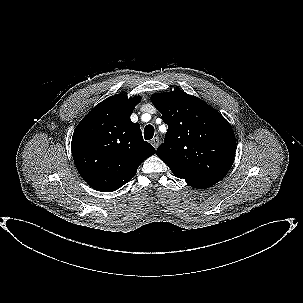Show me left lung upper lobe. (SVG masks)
Wrapping results in <instances>:
<instances>
[{
	"mask_svg": "<svg viewBox=\"0 0 303 303\" xmlns=\"http://www.w3.org/2000/svg\"><path fill=\"white\" fill-rule=\"evenodd\" d=\"M152 103L168 125L156 154L186 182L220 181L230 170L236 140L229 122L213 107L183 91L155 93Z\"/></svg>",
	"mask_w": 303,
	"mask_h": 303,
	"instance_id": "left-lung-upper-lobe-1",
	"label": "left lung upper lobe"
}]
</instances>
